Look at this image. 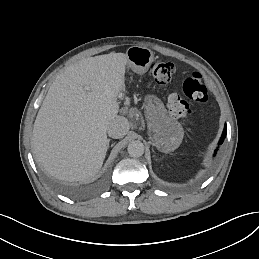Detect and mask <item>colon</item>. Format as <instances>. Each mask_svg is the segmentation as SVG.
<instances>
[{
	"label": "colon",
	"instance_id": "obj_1",
	"mask_svg": "<svg viewBox=\"0 0 259 259\" xmlns=\"http://www.w3.org/2000/svg\"><path fill=\"white\" fill-rule=\"evenodd\" d=\"M150 72L154 82L167 87L175 72V66L168 61H155L151 64ZM182 95L171 92L167 95L169 113L177 119L186 121L192 114L188 100L205 103L208 100L207 87L198 72L192 73L183 83Z\"/></svg>",
	"mask_w": 259,
	"mask_h": 259
}]
</instances>
